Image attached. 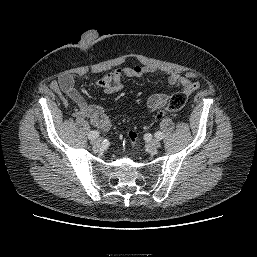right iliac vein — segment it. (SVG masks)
<instances>
[{
    "label": "right iliac vein",
    "instance_id": "1",
    "mask_svg": "<svg viewBox=\"0 0 257 257\" xmlns=\"http://www.w3.org/2000/svg\"><path fill=\"white\" fill-rule=\"evenodd\" d=\"M101 144H102V140H101V139H94V140L92 141V145H93L94 147H100Z\"/></svg>",
    "mask_w": 257,
    "mask_h": 257
}]
</instances>
